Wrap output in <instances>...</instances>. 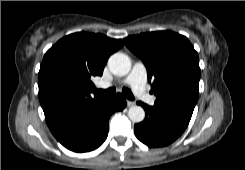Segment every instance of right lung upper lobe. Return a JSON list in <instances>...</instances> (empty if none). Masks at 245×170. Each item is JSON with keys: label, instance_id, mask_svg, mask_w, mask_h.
<instances>
[{"label": "right lung upper lobe", "instance_id": "cb5924a9", "mask_svg": "<svg viewBox=\"0 0 245 170\" xmlns=\"http://www.w3.org/2000/svg\"><path fill=\"white\" fill-rule=\"evenodd\" d=\"M121 39L79 32L65 36L45 54L38 74L39 100L54 136L79 115L105 98L93 91L91 78L101 76Z\"/></svg>", "mask_w": 245, "mask_h": 170}]
</instances>
